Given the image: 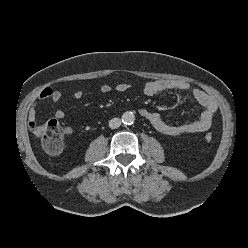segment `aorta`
<instances>
[{"label":"aorta","instance_id":"obj_1","mask_svg":"<svg viewBox=\"0 0 248 248\" xmlns=\"http://www.w3.org/2000/svg\"><path fill=\"white\" fill-rule=\"evenodd\" d=\"M135 121V115L131 111H126L122 115V122L127 125L133 124Z\"/></svg>","mask_w":248,"mask_h":248}]
</instances>
